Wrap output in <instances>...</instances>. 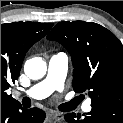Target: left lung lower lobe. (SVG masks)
Returning <instances> with one entry per match:
<instances>
[{
  "label": "left lung lower lobe",
  "instance_id": "0a47b994",
  "mask_svg": "<svg viewBox=\"0 0 123 123\" xmlns=\"http://www.w3.org/2000/svg\"><path fill=\"white\" fill-rule=\"evenodd\" d=\"M64 118L69 123H123V108L108 103L92 107V110L84 116L68 113Z\"/></svg>",
  "mask_w": 123,
  "mask_h": 123
}]
</instances>
